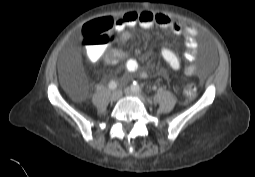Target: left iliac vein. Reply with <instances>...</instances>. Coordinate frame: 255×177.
<instances>
[{"label": "left iliac vein", "instance_id": "left-iliac-vein-1", "mask_svg": "<svg viewBox=\"0 0 255 177\" xmlns=\"http://www.w3.org/2000/svg\"><path fill=\"white\" fill-rule=\"evenodd\" d=\"M125 94L126 95H129V96H137L139 97L140 99L144 100V97L137 91H134L132 88H129L127 87L125 90H124Z\"/></svg>", "mask_w": 255, "mask_h": 177}]
</instances>
